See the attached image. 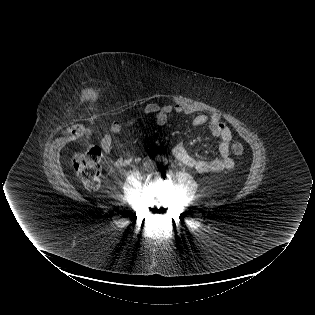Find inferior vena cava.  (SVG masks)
<instances>
[{
	"instance_id": "obj_1",
	"label": "inferior vena cava",
	"mask_w": 315,
	"mask_h": 315,
	"mask_svg": "<svg viewBox=\"0 0 315 315\" xmlns=\"http://www.w3.org/2000/svg\"><path fill=\"white\" fill-rule=\"evenodd\" d=\"M151 164H152V162H149V163H148V166H150Z\"/></svg>"
}]
</instances>
